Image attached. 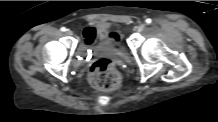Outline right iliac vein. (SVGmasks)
<instances>
[{
	"label": "right iliac vein",
	"mask_w": 218,
	"mask_h": 122,
	"mask_svg": "<svg viewBox=\"0 0 218 122\" xmlns=\"http://www.w3.org/2000/svg\"><path fill=\"white\" fill-rule=\"evenodd\" d=\"M66 35L72 36V35H73V32H72L71 30H67V31H66Z\"/></svg>",
	"instance_id": "obj_1"
}]
</instances>
